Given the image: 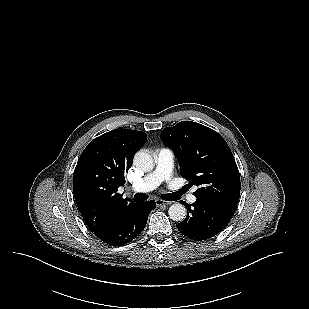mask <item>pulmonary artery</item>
Listing matches in <instances>:
<instances>
[{"label": "pulmonary artery", "mask_w": 309, "mask_h": 309, "mask_svg": "<svg viewBox=\"0 0 309 309\" xmlns=\"http://www.w3.org/2000/svg\"><path fill=\"white\" fill-rule=\"evenodd\" d=\"M174 164V153L171 149L163 147L157 151L155 168L142 179L132 184L135 192L145 193L157 188L162 182L169 181ZM191 203L196 201L194 194L188 196Z\"/></svg>", "instance_id": "obj_1"}]
</instances>
